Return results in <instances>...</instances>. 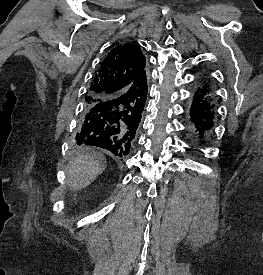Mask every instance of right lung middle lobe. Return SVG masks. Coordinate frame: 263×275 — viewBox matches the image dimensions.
<instances>
[{"instance_id":"obj_1","label":"right lung middle lobe","mask_w":263,"mask_h":275,"mask_svg":"<svg viewBox=\"0 0 263 275\" xmlns=\"http://www.w3.org/2000/svg\"><path fill=\"white\" fill-rule=\"evenodd\" d=\"M97 101H98V99H97V98L92 97V96H90V95H89V96H87V97L85 98L86 107H87V106H91V105L95 104ZM76 149L81 150V149H82V147L77 146V147H76Z\"/></svg>"}]
</instances>
